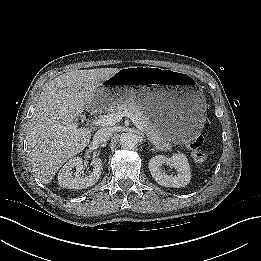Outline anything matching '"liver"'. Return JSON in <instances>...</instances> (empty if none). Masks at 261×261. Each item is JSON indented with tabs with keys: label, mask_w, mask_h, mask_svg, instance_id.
I'll return each mask as SVG.
<instances>
[{
	"label": "liver",
	"mask_w": 261,
	"mask_h": 261,
	"mask_svg": "<svg viewBox=\"0 0 261 261\" xmlns=\"http://www.w3.org/2000/svg\"><path fill=\"white\" fill-rule=\"evenodd\" d=\"M118 68L73 70L50 80L43 88L28 125V153L33 170L49 184L59 168L89 144L91 129L69 130L84 108H95L103 83Z\"/></svg>",
	"instance_id": "1"
}]
</instances>
